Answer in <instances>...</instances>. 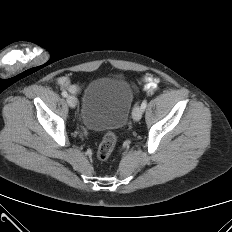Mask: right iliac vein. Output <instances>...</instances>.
Returning a JSON list of instances; mask_svg holds the SVG:
<instances>
[{
    "label": "right iliac vein",
    "instance_id": "1",
    "mask_svg": "<svg viewBox=\"0 0 232 232\" xmlns=\"http://www.w3.org/2000/svg\"><path fill=\"white\" fill-rule=\"evenodd\" d=\"M67 103L71 108H75L76 105H77V100H76V98L74 96L69 95L67 97Z\"/></svg>",
    "mask_w": 232,
    "mask_h": 232
}]
</instances>
